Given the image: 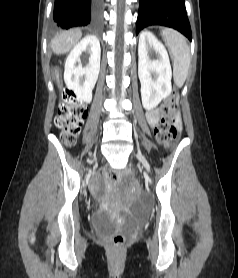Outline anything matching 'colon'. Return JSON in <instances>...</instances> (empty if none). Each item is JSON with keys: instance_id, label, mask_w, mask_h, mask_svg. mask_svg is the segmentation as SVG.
I'll list each match as a JSON object with an SVG mask.
<instances>
[{"instance_id": "5ec220e1", "label": "colon", "mask_w": 238, "mask_h": 278, "mask_svg": "<svg viewBox=\"0 0 238 278\" xmlns=\"http://www.w3.org/2000/svg\"><path fill=\"white\" fill-rule=\"evenodd\" d=\"M87 107L70 90H66L59 105L55 124L61 132V139L67 146H72L80 132L82 123L87 116ZM161 119L155 128V136L163 145H170L177 137L176 99L174 95L165 98L160 106ZM117 170L107 168L104 171L108 182L116 183L123 174ZM113 249L121 248L125 243V236L121 233L104 235Z\"/></svg>"}]
</instances>
